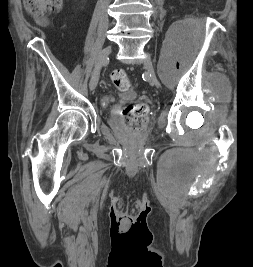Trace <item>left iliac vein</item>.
<instances>
[{"mask_svg": "<svg viewBox=\"0 0 253 267\" xmlns=\"http://www.w3.org/2000/svg\"><path fill=\"white\" fill-rule=\"evenodd\" d=\"M144 65H145V68L147 70V73L150 74V80H151V84L152 85H155L156 87H160V82L159 80L157 79L155 73H154V65L153 63L151 62L150 59H146L145 62H144Z\"/></svg>", "mask_w": 253, "mask_h": 267, "instance_id": "obj_1", "label": "left iliac vein"}]
</instances>
